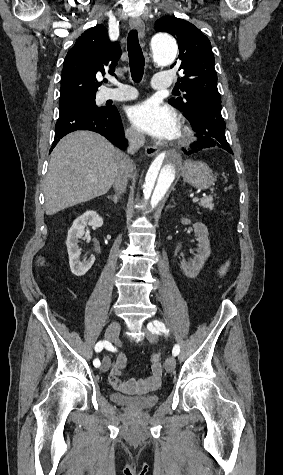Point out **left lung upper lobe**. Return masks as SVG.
<instances>
[{
	"mask_svg": "<svg viewBox=\"0 0 283 475\" xmlns=\"http://www.w3.org/2000/svg\"><path fill=\"white\" fill-rule=\"evenodd\" d=\"M155 30L170 33L177 39L179 46V70L183 71L184 76L177 85L186 94L183 98H171L168 102L183 111L187 118L195 113L201 103H221L209 39L192 23L174 16L158 19Z\"/></svg>",
	"mask_w": 283,
	"mask_h": 475,
	"instance_id": "obj_1",
	"label": "left lung upper lobe"
}]
</instances>
